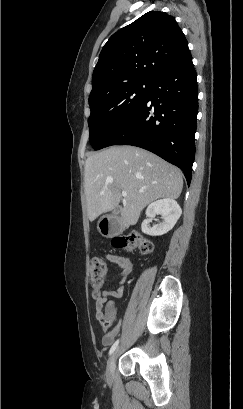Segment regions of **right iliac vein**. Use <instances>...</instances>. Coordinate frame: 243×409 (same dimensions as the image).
<instances>
[{
    "mask_svg": "<svg viewBox=\"0 0 243 409\" xmlns=\"http://www.w3.org/2000/svg\"><path fill=\"white\" fill-rule=\"evenodd\" d=\"M116 358H117V351H115L108 359L107 367H106V375H107L108 380H111L113 377Z\"/></svg>",
    "mask_w": 243,
    "mask_h": 409,
    "instance_id": "63e3f726",
    "label": "right iliac vein"
}]
</instances>
